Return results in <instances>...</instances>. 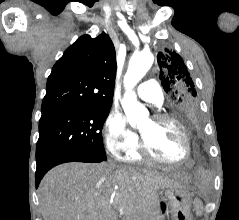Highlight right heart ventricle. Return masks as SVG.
I'll list each match as a JSON object with an SVG mask.
<instances>
[{
  "label": "right heart ventricle",
  "mask_w": 239,
  "mask_h": 220,
  "mask_svg": "<svg viewBox=\"0 0 239 220\" xmlns=\"http://www.w3.org/2000/svg\"><path fill=\"white\" fill-rule=\"evenodd\" d=\"M126 159L129 161H140L142 159V156L138 152V150L135 148L127 153Z\"/></svg>",
  "instance_id": "right-heart-ventricle-1"
}]
</instances>
